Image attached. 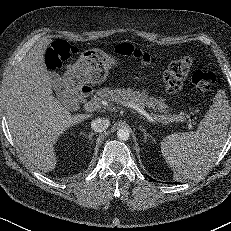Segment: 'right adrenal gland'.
<instances>
[{
  "label": "right adrenal gland",
  "instance_id": "1",
  "mask_svg": "<svg viewBox=\"0 0 231 231\" xmlns=\"http://www.w3.org/2000/svg\"><path fill=\"white\" fill-rule=\"evenodd\" d=\"M94 132H90L89 135L83 134L85 135V137L89 138L90 141H92V136L94 135ZM92 143V142H91Z\"/></svg>",
  "mask_w": 231,
  "mask_h": 231
}]
</instances>
